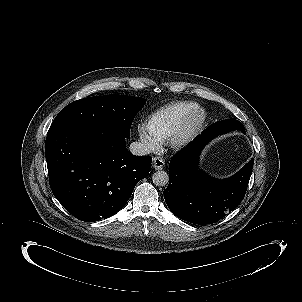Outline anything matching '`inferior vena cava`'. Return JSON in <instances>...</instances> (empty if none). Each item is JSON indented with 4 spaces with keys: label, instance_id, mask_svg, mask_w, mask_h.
<instances>
[{
    "label": "inferior vena cava",
    "instance_id": "1",
    "mask_svg": "<svg viewBox=\"0 0 302 302\" xmlns=\"http://www.w3.org/2000/svg\"><path fill=\"white\" fill-rule=\"evenodd\" d=\"M129 151L136 156H145L150 153L149 148L141 142H132Z\"/></svg>",
    "mask_w": 302,
    "mask_h": 302
}]
</instances>
